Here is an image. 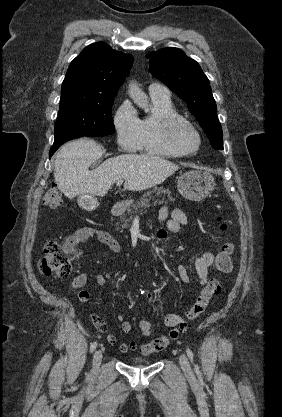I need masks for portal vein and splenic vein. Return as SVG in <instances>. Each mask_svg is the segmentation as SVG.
I'll list each match as a JSON object with an SVG mask.
<instances>
[{
	"label": "portal vein and splenic vein",
	"mask_w": 282,
	"mask_h": 417,
	"mask_svg": "<svg viewBox=\"0 0 282 417\" xmlns=\"http://www.w3.org/2000/svg\"><path fill=\"white\" fill-rule=\"evenodd\" d=\"M123 180H117L116 184L119 186V184H122Z\"/></svg>",
	"instance_id": "obj_1"
}]
</instances>
